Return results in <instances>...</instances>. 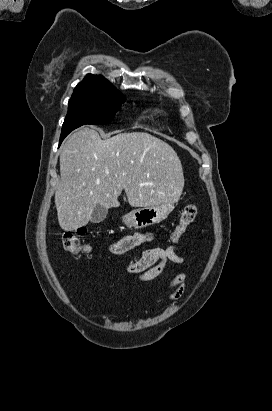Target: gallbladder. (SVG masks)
Returning <instances> with one entry per match:
<instances>
[{"instance_id":"bac80fb5","label":"gallbladder","mask_w":272,"mask_h":411,"mask_svg":"<svg viewBox=\"0 0 272 411\" xmlns=\"http://www.w3.org/2000/svg\"><path fill=\"white\" fill-rule=\"evenodd\" d=\"M107 213L108 209L100 204H97L93 209L90 221L92 223H100L106 218Z\"/></svg>"}]
</instances>
